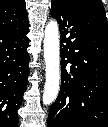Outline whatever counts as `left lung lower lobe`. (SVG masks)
<instances>
[{
  "mask_svg": "<svg viewBox=\"0 0 108 127\" xmlns=\"http://www.w3.org/2000/svg\"><path fill=\"white\" fill-rule=\"evenodd\" d=\"M60 27L61 87L47 127H108V22L94 7L52 0Z\"/></svg>",
  "mask_w": 108,
  "mask_h": 127,
  "instance_id": "0a47b994",
  "label": "left lung lower lobe"
}]
</instances>
